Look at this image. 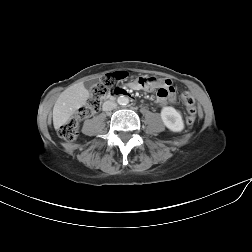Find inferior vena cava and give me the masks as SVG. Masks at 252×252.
<instances>
[{
	"label": "inferior vena cava",
	"mask_w": 252,
	"mask_h": 252,
	"mask_svg": "<svg viewBox=\"0 0 252 252\" xmlns=\"http://www.w3.org/2000/svg\"><path fill=\"white\" fill-rule=\"evenodd\" d=\"M117 107V103L114 101H106L103 103V111H111Z\"/></svg>",
	"instance_id": "602c4592"
}]
</instances>
